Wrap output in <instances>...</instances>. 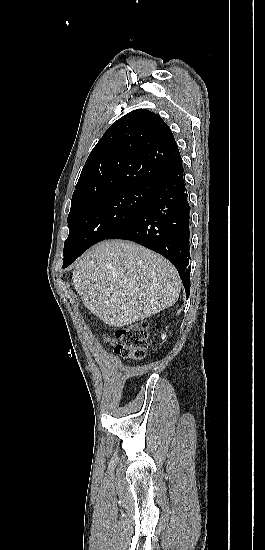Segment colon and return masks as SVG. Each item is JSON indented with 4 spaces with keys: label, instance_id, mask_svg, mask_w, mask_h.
Here are the masks:
<instances>
[{
    "label": "colon",
    "instance_id": "obj_1",
    "mask_svg": "<svg viewBox=\"0 0 265 550\" xmlns=\"http://www.w3.org/2000/svg\"><path fill=\"white\" fill-rule=\"evenodd\" d=\"M120 343L114 352L128 360H141L145 357L147 348L148 324L136 322L128 327L119 328L115 332Z\"/></svg>",
    "mask_w": 265,
    "mask_h": 550
}]
</instances>
